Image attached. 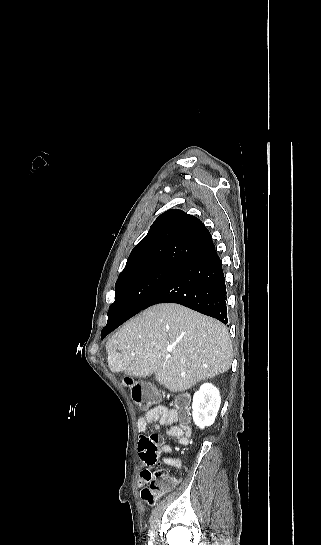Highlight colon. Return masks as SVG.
<instances>
[{
    "instance_id": "1",
    "label": "colon",
    "mask_w": 321,
    "mask_h": 545,
    "mask_svg": "<svg viewBox=\"0 0 321 545\" xmlns=\"http://www.w3.org/2000/svg\"><path fill=\"white\" fill-rule=\"evenodd\" d=\"M125 384L129 388L131 397L134 403L141 409H148L158 401V393L150 384L127 377L124 379ZM178 406L184 411L186 410V402L181 400ZM159 436L151 434L143 436L139 443V449L142 455L148 460H154L157 457ZM177 481L174 477L166 474L157 473L150 477L149 484L141 490L142 499L153 504L163 494L172 490Z\"/></svg>"
}]
</instances>
